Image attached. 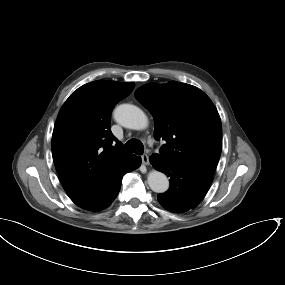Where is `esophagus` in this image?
I'll use <instances>...</instances> for the list:
<instances>
[{"instance_id":"34e87169","label":"esophagus","mask_w":285,"mask_h":285,"mask_svg":"<svg viewBox=\"0 0 285 285\" xmlns=\"http://www.w3.org/2000/svg\"><path fill=\"white\" fill-rule=\"evenodd\" d=\"M141 160L144 165H149V157L147 154L141 155Z\"/></svg>"}]
</instances>
